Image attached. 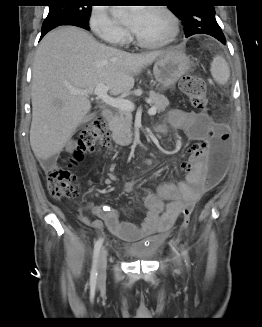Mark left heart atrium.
<instances>
[{"label":"left heart atrium","instance_id":"39dd6f15","mask_svg":"<svg viewBox=\"0 0 262 327\" xmlns=\"http://www.w3.org/2000/svg\"><path fill=\"white\" fill-rule=\"evenodd\" d=\"M147 10L148 8L133 7L126 11L132 29L138 25Z\"/></svg>","mask_w":262,"mask_h":327}]
</instances>
